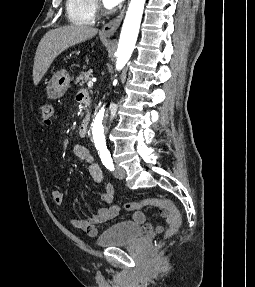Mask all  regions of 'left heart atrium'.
Listing matches in <instances>:
<instances>
[{
	"label": "left heart atrium",
	"mask_w": 255,
	"mask_h": 287,
	"mask_svg": "<svg viewBox=\"0 0 255 287\" xmlns=\"http://www.w3.org/2000/svg\"><path fill=\"white\" fill-rule=\"evenodd\" d=\"M111 5L115 4L118 0H107Z\"/></svg>",
	"instance_id": "left-heart-atrium-1"
}]
</instances>
